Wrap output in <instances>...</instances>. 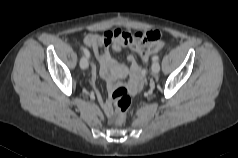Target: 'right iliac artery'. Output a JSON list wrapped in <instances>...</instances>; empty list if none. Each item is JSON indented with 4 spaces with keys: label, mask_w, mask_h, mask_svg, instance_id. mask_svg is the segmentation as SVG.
<instances>
[{
    "label": "right iliac artery",
    "mask_w": 238,
    "mask_h": 158,
    "mask_svg": "<svg viewBox=\"0 0 238 158\" xmlns=\"http://www.w3.org/2000/svg\"><path fill=\"white\" fill-rule=\"evenodd\" d=\"M82 50H83L84 54L86 55V57L89 58L90 57L89 51L86 48H82Z\"/></svg>",
    "instance_id": "obj_1"
}]
</instances>
